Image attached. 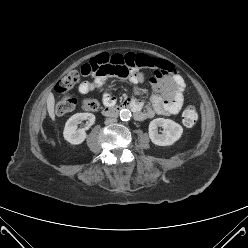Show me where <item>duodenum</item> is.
<instances>
[{
  "mask_svg": "<svg viewBox=\"0 0 248 248\" xmlns=\"http://www.w3.org/2000/svg\"><path fill=\"white\" fill-rule=\"evenodd\" d=\"M130 109L135 115L138 113V107L136 103L132 100H126L121 105L113 107L108 106L102 110V115L107 117L117 116L122 110Z\"/></svg>",
  "mask_w": 248,
  "mask_h": 248,
  "instance_id": "duodenum-1",
  "label": "duodenum"
}]
</instances>
